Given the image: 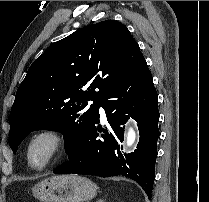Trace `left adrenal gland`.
<instances>
[{"instance_id": "left-adrenal-gland-1", "label": "left adrenal gland", "mask_w": 209, "mask_h": 202, "mask_svg": "<svg viewBox=\"0 0 209 202\" xmlns=\"http://www.w3.org/2000/svg\"><path fill=\"white\" fill-rule=\"evenodd\" d=\"M96 202H104V200L103 199H99Z\"/></svg>"}]
</instances>
